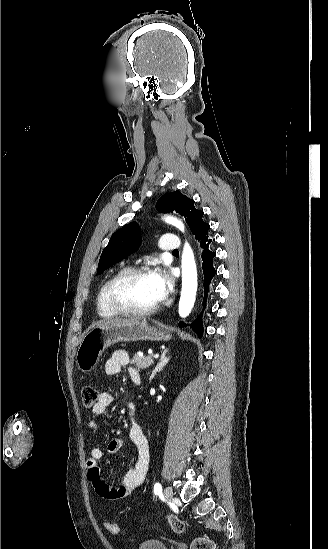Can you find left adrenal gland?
Listing matches in <instances>:
<instances>
[{"instance_id": "1", "label": "left adrenal gland", "mask_w": 328, "mask_h": 549, "mask_svg": "<svg viewBox=\"0 0 328 549\" xmlns=\"http://www.w3.org/2000/svg\"><path fill=\"white\" fill-rule=\"evenodd\" d=\"M168 351H169V349H165V351H163V353L161 355L160 363H158V365H156L154 371H152L151 377H155V375H156V373H158V371H163V367H166L168 361H170V359H167V357H166Z\"/></svg>"}]
</instances>
